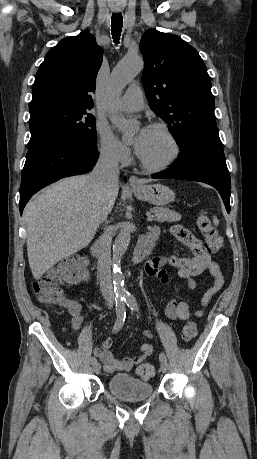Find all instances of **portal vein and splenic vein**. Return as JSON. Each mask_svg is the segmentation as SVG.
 Segmentation results:
<instances>
[{"mask_svg": "<svg viewBox=\"0 0 257 459\" xmlns=\"http://www.w3.org/2000/svg\"><path fill=\"white\" fill-rule=\"evenodd\" d=\"M147 220H148L149 222L153 221V220H154V216H152L151 214H148V215H147Z\"/></svg>", "mask_w": 257, "mask_h": 459, "instance_id": "obj_1", "label": "portal vein and splenic vein"}]
</instances>
